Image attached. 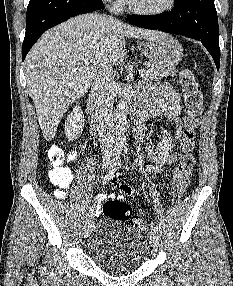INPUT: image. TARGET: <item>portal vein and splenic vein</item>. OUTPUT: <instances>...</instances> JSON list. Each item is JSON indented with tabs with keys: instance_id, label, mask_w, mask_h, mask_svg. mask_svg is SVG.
<instances>
[{
	"instance_id": "portal-vein-and-splenic-vein-1",
	"label": "portal vein and splenic vein",
	"mask_w": 233,
	"mask_h": 286,
	"mask_svg": "<svg viewBox=\"0 0 233 286\" xmlns=\"http://www.w3.org/2000/svg\"><path fill=\"white\" fill-rule=\"evenodd\" d=\"M146 73H147V71H146L145 69L139 70V74H140L141 76L145 75Z\"/></svg>"
}]
</instances>
